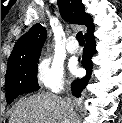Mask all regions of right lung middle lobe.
Listing matches in <instances>:
<instances>
[{
	"mask_svg": "<svg viewBox=\"0 0 122 123\" xmlns=\"http://www.w3.org/2000/svg\"><path fill=\"white\" fill-rule=\"evenodd\" d=\"M38 59L39 56H36L7 69L5 86L8 104L17 96L37 91L40 88L37 83Z\"/></svg>",
	"mask_w": 122,
	"mask_h": 123,
	"instance_id": "1",
	"label": "right lung middle lobe"
}]
</instances>
